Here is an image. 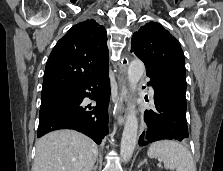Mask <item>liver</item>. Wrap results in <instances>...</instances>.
I'll return each mask as SVG.
<instances>
[{"instance_id": "6515ba94", "label": "liver", "mask_w": 223, "mask_h": 171, "mask_svg": "<svg viewBox=\"0 0 223 171\" xmlns=\"http://www.w3.org/2000/svg\"><path fill=\"white\" fill-rule=\"evenodd\" d=\"M97 157L92 139L74 130H57L38 140L32 171H90Z\"/></svg>"}]
</instances>
